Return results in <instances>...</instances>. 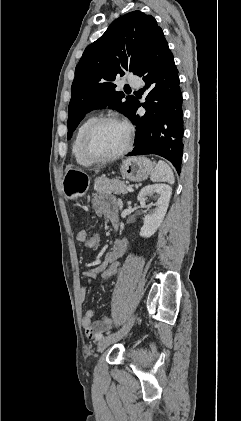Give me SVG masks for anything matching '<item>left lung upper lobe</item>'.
Masks as SVG:
<instances>
[{
	"mask_svg": "<svg viewBox=\"0 0 241 421\" xmlns=\"http://www.w3.org/2000/svg\"><path fill=\"white\" fill-rule=\"evenodd\" d=\"M161 30L153 16L133 11L113 21L85 49L71 88L68 139L83 117L96 108L110 106L130 119L136 98L116 91L113 81L126 71L137 74Z\"/></svg>",
	"mask_w": 241,
	"mask_h": 421,
	"instance_id": "obj_1",
	"label": "left lung upper lobe"
}]
</instances>
